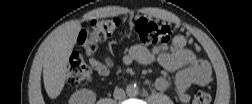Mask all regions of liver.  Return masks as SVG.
Here are the masks:
<instances>
[{
    "instance_id": "obj_1",
    "label": "liver",
    "mask_w": 252,
    "mask_h": 104,
    "mask_svg": "<svg viewBox=\"0 0 252 104\" xmlns=\"http://www.w3.org/2000/svg\"><path fill=\"white\" fill-rule=\"evenodd\" d=\"M80 30L79 23H73L59 29L46 49L43 81L46 93L52 99L60 95L65 85L69 57Z\"/></svg>"
}]
</instances>
